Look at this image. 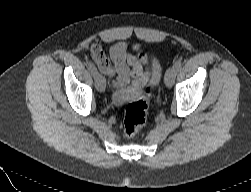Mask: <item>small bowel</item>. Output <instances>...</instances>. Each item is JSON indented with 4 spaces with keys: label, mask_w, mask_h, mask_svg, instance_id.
<instances>
[{
    "label": "small bowel",
    "mask_w": 251,
    "mask_h": 192,
    "mask_svg": "<svg viewBox=\"0 0 251 192\" xmlns=\"http://www.w3.org/2000/svg\"><path fill=\"white\" fill-rule=\"evenodd\" d=\"M92 57L102 73L115 77L118 85H141L148 81L150 70L149 60L145 52L133 55L128 52L124 42L115 43L107 56L103 50L94 45Z\"/></svg>",
    "instance_id": "1"
}]
</instances>
